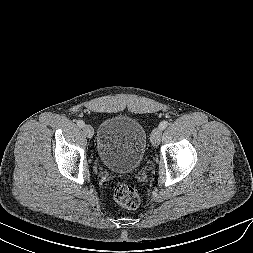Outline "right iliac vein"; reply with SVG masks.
I'll list each match as a JSON object with an SVG mask.
<instances>
[{
	"instance_id": "63e3f726",
	"label": "right iliac vein",
	"mask_w": 253,
	"mask_h": 253,
	"mask_svg": "<svg viewBox=\"0 0 253 253\" xmlns=\"http://www.w3.org/2000/svg\"><path fill=\"white\" fill-rule=\"evenodd\" d=\"M83 132L88 138H92V136L94 135V130L90 125H84Z\"/></svg>"
}]
</instances>
